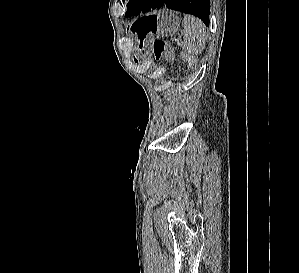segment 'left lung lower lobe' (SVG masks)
<instances>
[{
	"instance_id": "0a47b994",
	"label": "left lung lower lobe",
	"mask_w": 299,
	"mask_h": 273,
	"mask_svg": "<svg viewBox=\"0 0 299 273\" xmlns=\"http://www.w3.org/2000/svg\"><path fill=\"white\" fill-rule=\"evenodd\" d=\"M163 6L176 11L195 15L199 17L206 26L209 25V0H147L142 12H149L152 9H159Z\"/></svg>"
}]
</instances>
